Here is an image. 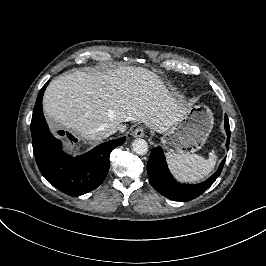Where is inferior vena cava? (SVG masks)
<instances>
[{
    "label": "inferior vena cava",
    "instance_id": "inferior-vena-cava-1",
    "mask_svg": "<svg viewBox=\"0 0 266 266\" xmlns=\"http://www.w3.org/2000/svg\"><path fill=\"white\" fill-rule=\"evenodd\" d=\"M118 131V129L117 128H113V129H110V130H106L105 132V135H106V137L107 136H109V135H111V134H114V133H116Z\"/></svg>",
    "mask_w": 266,
    "mask_h": 266
}]
</instances>
